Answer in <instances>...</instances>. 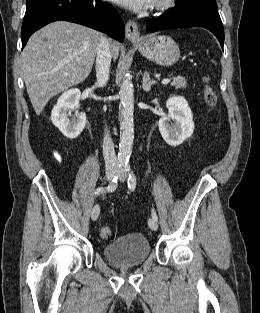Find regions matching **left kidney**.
I'll return each instance as SVG.
<instances>
[{"label": "left kidney", "mask_w": 260, "mask_h": 313, "mask_svg": "<svg viewBox=\"0 0 260 313\" xmlns=\"http://www.w3.org/2000/svg\"><path fill=\"white\" fill-rule=\"evenodd\" d=\"M168 115L158 122L162 138L170 146H178L191 137L194 131L193 115L183 97H171L166 102ZM171 120L173 123L170 124Z\"/></svg>", "instance_id": "left-kidney-1"}]
</instances>
